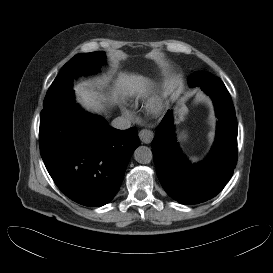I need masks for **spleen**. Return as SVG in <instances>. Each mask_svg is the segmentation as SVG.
<instances>
[{
	"mask_svg": "<svg viewBox=\"0 0 273 273\" xmlns=\"http://www.w3.org/2000/svg\"><path fill=\"white\" fill-rule=\"evenodd\" d=\"M192 161H197L198 158L197 157H191Z\"/></svg>",
	"mask_w": 273,
	"mask_h": 273,
	"instance_id": "obj_1",
	"label": "spleen"
}]
</instances>
